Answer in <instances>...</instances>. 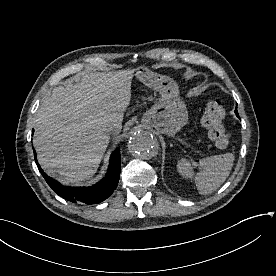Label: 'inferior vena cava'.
Segmentation results:
<instances>
[{"instance_id": "inferior-vena-cava-1", "label": "inferior vena cava", "mask_w": 276, "mask_h": 276, "mask_svg": "<svg viewBox=\"0 0 276 276\" xmlns=\"http://www.w3.org/2000/svg\"><path fill=\"white\" fill-rule=\"evenodd\" d=\"M105 128H104V130H105V132H107V133H116V132H118L119 131V125L118 124H105V126H104Z\"/></svg>"}]
</instances>
